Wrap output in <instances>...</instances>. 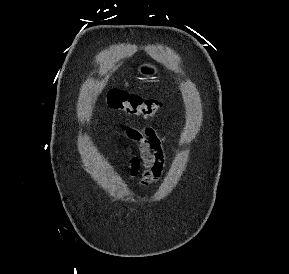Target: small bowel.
Masks as SVG:
<instances>
[{
	"label": "small bowel",
	"mask_w": 289,
	"mask_h": 274,
	"mask_svg": "<svg viewBox=\"0 0 289 274\" xmlns=\"http://www.w3.org/2000/svg\"><path fill=\"white\" fill-rule=\"evenodd\" d=\"M125 136L137 146L136 150L128 148V175L134 178L140 174L141 186L156 184L163 175L166 163L162 139L150 126L141 130L127 128Z\"/></svg>",
	"instance_id": "c3829d8e"
}]
</instances>
